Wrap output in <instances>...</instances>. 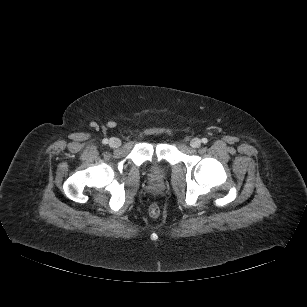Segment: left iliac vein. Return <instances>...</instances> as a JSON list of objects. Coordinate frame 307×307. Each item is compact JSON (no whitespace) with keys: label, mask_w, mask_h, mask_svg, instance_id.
<instances>
[{"label":"left iliac vein","mask_w":307,"mask_h":307,"mask_svg":"<svg viewBox=\"0 0 307 307\" xmlns=\"http://www.w3.org/2000/svg\"><path fill=\"white\" fill-rule=\"evenodd\" d=\"M190 144L193 148H198L201 145V140L199 138H194L191 140Z\"/></svg>","instance_id":"4c4485c4"}]
</instances>
